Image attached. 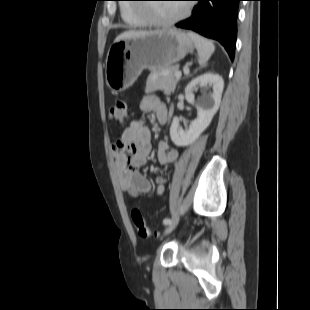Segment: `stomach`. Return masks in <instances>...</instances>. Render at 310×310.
<instances>
[{"label": "stomach", "mask_w": 310, "mask_h": 310, "mask_svg": "<svg viewBox=\"0 0 310 310\" xmlns=\"http://www.w3.org/2000/svg\"><path fill=\"white\" fill-rule=\"evenodd\" d=\"M194 48L190 36L176 29L114 42L105 61L106 83L115 92L124 91L143 69L156 71L173 66Z\"/></svg>", "instance_id": "obj_1"}]
</instances>
